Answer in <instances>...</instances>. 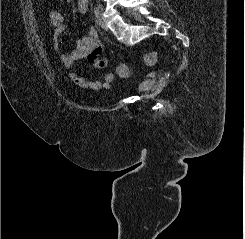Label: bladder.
<instances>
[{"label":"bladder","mask_w":245,"mask_h":239,"mask_svg":"<svg viewBox=\"0 0 245 239\" xmlns=\"http://www.w3.org/2000/svg\"><path fill=\"white\" fill-rule=\"evenodd\" d=\"M154 83L152 81H140L138 82L134 88L133 92L135 93H143L148 91L151 87H153Z\"/></svg>","instance_id":"1"}]
</instances>
